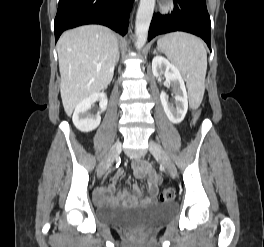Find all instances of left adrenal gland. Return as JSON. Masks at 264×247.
Listing matches in <instances>:
<instances>
[{
  "label": "left adrenal gland",
  "instance_id": "obj_1",
  "mask_svg": "<svg viewBox=\"0 0 264 247\" xmlns=\"http://www.w3.org/2000/svg\"><path fill=\"white\" fill-rule=\"evenodd\" d=\"M156 53H157V49H154L153 54H156Z\"/></svg>",
  "mask_w": 264,
  "mask_h": 247
}]
</instances>
